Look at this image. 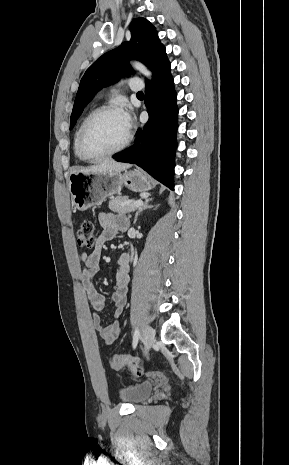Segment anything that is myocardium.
Masks as SVG:
<instances>
[{
    "label": "myocardium",
    "mask_w": 289,
    "mask_h": 465,
    "mask_svg": "<svg viewBox=\"0 0 289 465\" xmlns=\"http://www.w3.org/2000/svg\"><path fill=\"white\" fill-rule=\"evenodd\" d=\"M119 111H120L119 108L116 107V106L102 105L100 107H97L96 109H94L93 111H91L87 115V117L85 118V120L83 121V124L81 126L80 133H79V138H78V150H79V153H80L81 157L85 161H90V162L99 161V160H101L103 158L113 156V155L123 151L124 149H126L129 146V144L132 141V133H131L130 130H128V134H127V137H126L125 141L120 146L116 147L115 149H112V150H109V151H106L104 153L97 154V155L89 153L87 151V149H86L87 134H88L90 125L92 124L94 119L97 116H99L100 114H102V113L119 112Z\"/></svg>",
    "instance_id": "f54148a6"
}]
</instances>
